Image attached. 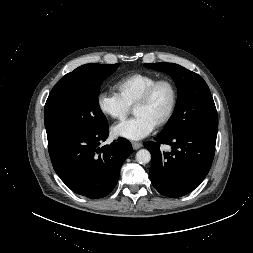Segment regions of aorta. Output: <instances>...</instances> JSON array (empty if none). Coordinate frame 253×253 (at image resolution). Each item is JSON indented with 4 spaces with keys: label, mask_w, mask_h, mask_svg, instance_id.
Returning a JSON list of instances; mask_svg holds the SVG:
<instances>
[{
    "label": "aorta",
    "mask_w": 253,
    "mask_h": 253,
    "mask_svg": "<svg viewBox=\"0 0 253 253\" xmlns=\"http://www.w3.org/2000/svg\"><path fill=\"white\" fill-rule=\"evenodd\" d=\"M151 160V154L147 149H141L136 153V161L140 164H147Z\"/></svg>",
    "instance_id": "obj_1"
}]
</instances>
